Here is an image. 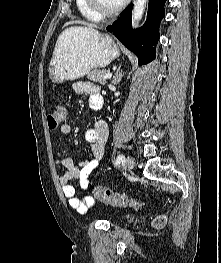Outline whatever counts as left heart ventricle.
<instances>
[{"instance_id": "obj_1", "label": "left heart ventricle", "mask_w": 221, "mask_h": 263, "mask_svg": "<svg viewBox=\"0 0 221 263\" xmlns=\"http://www.w3.org/2000/svg\"><path fill=\"white\" fill-rule=\"evenodd\" d=\"M101 6L106 10H112L120 5L122 0H99Z\"/></svg>"}]
</instances>
